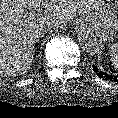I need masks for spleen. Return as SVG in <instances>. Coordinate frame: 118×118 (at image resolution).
I'll list each match as a JSON object with an SVG mask.
<instances>
[{"mask_svg":"<svg viewBox=\"0 0 118 118\" xmlns=\"http://www.w3.org/2000/svg\"><path fill=\"white\" fill-rule=\"evenodd\" d=\"M110 59L113 65L118 68V43L110 46Z\"/></svg>","mask_w":118,"mask_h":118,"instance_id":"spleen-1","label":"spleen"}]
</instances>
